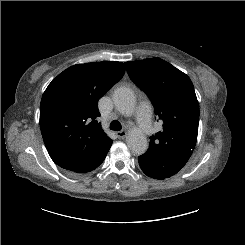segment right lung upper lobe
Segmentation results:
<instances>
[{"label":"right lung upper lobe","instance_id":"obj_1","mask_svg":"<svg viewBox=\"0 0 245 245\" xmlns=\"http://www.w3.org/2000/svg\"><path fill=\"white\" fill-rule=\"evenodd\" d=\"M124 72L121 62L77 64L49 84L41 99L40 129L57 165L73 171L111 140L96 120L98 100Z\"/></svg>","mask_w":245,"mask_h":245}]
</instances>
